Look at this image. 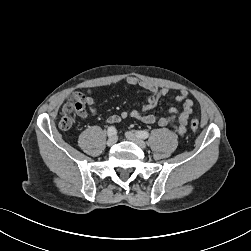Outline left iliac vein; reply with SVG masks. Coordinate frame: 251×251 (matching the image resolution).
Here are the masks:
<instances>
[{"label":"left iliac vein","instance_id":"left-iliac-vein-1","mask_svg":"<svg viewBox=\"0 0 251 251\" xmlns=\"http://www.w3.org/2000/svg\"><path fill=\"white\" fill-rule=\"evenodd\" d=\"M125 136L128 140L134 142L136 145H138L141 148H146L145 141L137 136L134 132L128 131L125 133Z\"/></svg>","mask_w":251,"mask_h":251}]
</instances>
